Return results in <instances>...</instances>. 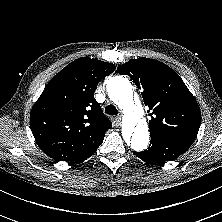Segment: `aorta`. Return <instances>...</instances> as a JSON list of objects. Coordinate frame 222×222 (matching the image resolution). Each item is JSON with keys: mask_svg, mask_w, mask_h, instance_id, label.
<instances>
[{"mask_svg": "<svg viewBox=\"0 0 222 222\" xmlns=\"http://www.w3.org/2000/svg\"><path fill=\"white\" fill-rule=\"evenodd\" d=\"M110 98L123 109L122 135L135 151H143L149 144V129L140 104L133 100V86L121 76L114 77L108 85Z\"/></svg>", "mask_w": 222, "mask_h": 222, "instance_id": "aorta-1", "label": "aorta"}]
</instances>
